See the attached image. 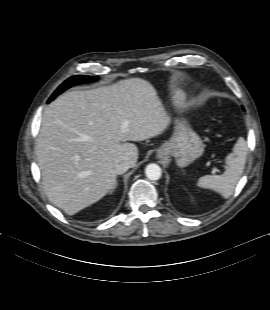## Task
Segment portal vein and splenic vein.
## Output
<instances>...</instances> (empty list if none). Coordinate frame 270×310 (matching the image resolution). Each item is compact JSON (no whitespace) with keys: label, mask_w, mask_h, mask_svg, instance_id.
Here are the masks:
<instances>
[{"label":"portal vein and splenic vein","mask_w":270,"mask_h":310,"mask_svg":"<svg viewBox=\"0 0 270 310\" xmlns=\"http://www.w3.org/2000/svg\"><path fill=\"white\" fill-rule=\"evenodd\" d=\"M215 171H217V169H216V168H213V172H215Z\"/></svg>","instance_id":"1"}]
</instances>
